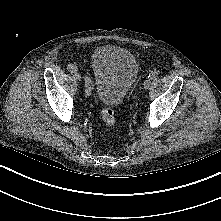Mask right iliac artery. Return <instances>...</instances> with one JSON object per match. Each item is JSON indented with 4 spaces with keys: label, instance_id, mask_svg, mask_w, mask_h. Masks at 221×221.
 <instances>
[{
    "label": "right iliac artery",
    "instance_id": "obj_1",
    "mask_svg": "<svg viewBox=\"0 0 221 221\" xmlns=\"http://www.w3.org/2000/svg\"><path fill=\"white\" fill-rule=\"evenodd\" d=\"M67 69L71 72V73H74L76 71H78V68L76 65L74 64H69ZM92 80L90 77L86 76L85 77V95L86 97H90L91 94H92Z\"/></svg>",
    "mask_w": 221,
    "mask_h": 221
}]
</instances>
